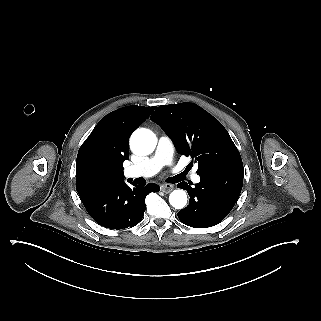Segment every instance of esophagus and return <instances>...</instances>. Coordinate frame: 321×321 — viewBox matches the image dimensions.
<instances>
[{"instance_id":"34e87169","label":"esophagus","mask_w":321,"mask_h":321,"mask_svg":"<svg viewBox=\"0 0 321 321\" xmlns=\"http://www.w3.org/2000/svg\"><path fill=\"white\" fill-rule=\"evenodd\" d=\"M174 189L173 184H162L161 191L164 193H170Z\"/></svg>"}]
</instances>
